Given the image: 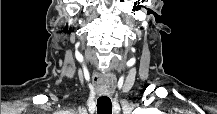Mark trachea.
<instances>
[{"label": "trachea", "instance_id": "3493384b", "mask_svg": "<svg viewBox=\"0 0 217 114\" xmlns=\"http://www.w3.org/2000/svg\"><path fill=\"white\" fill-rule=\"evenodd\" d=\"M97 112L98 114L112 113V102L110 98L104 97L97 99Z\"/></svg>", "mask_w": 217, "mask_h": 114}]
</instances>
